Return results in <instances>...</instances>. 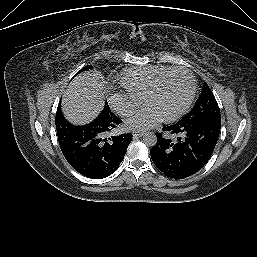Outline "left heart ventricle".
Instances as JSON below:
<instances>
[{"mask_svg":"<svg viewBox=\"0 0 257 257\" xmlns=\"http://www.w3.org/2000/svg\"><path fill=\"white\" fill-rule=\"evenodd\" d=\"M190 90V79L184 73H175L166 78L157 92L148 100L147 106L162 116L178 110L185 102Z\"/></svg>","mask_w":257,"mask_h":257,"instance_id":"obj_1","label":"left heart ventricle"}]
</instances>
